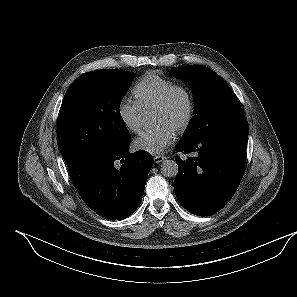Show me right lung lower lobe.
<instances>
[{"label":"right lung lower lobe","instance_id":"1","mask_svg":"<svg viewBox=\"0 0 297 297\" xmlns=\"http://www.w3.org/2000/svg\"><path fill=\"white\" fill-rule=\"evenodd\" d=\"M129 144L90 152L68 167L84 202L111 220L125 219L138 208L153 165L148 152L129 153Z\"/></svg>","mask_w":297,"mask_h":297}]
</instances>
